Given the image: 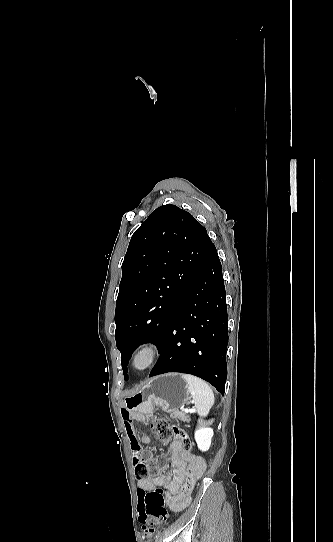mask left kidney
Returning a JSON list of instances; mask_svg holds the SVG:
<instances>
[{"mask_svg": "<svg viewBox=\"0 0 333 542\" xmlns=\"http://www.w3.org/2000/svg\"><path fill=\"white\" fill-rule=\"evenodd\" d=\"M213 420L211 422H208V424H212ZM213 438V430L212 428H206L205 424H201L195 432V440L197 442V446L201 452H207L211 446V440Z\"/></svg>", "mask_w": 333, "mask_h": 542, "instance_id": "left-kidney-1", "label": "left kidney"}]
</instances>
